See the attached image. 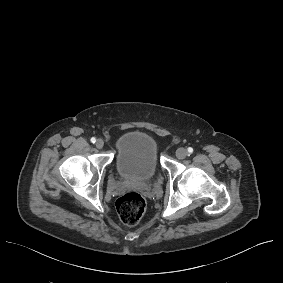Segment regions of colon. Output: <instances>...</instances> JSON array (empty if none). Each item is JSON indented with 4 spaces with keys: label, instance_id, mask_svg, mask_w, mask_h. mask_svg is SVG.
<instances>
[{
    "label": "colon",
    "instance_id": "1",
    "mask_svg": "<svg viewBox=\"0 0 283 283\" xmlns=\"http://www.w3.org/2000/svg\"><path fill=\"white\" fill-rule=\"evenodd\" d=\"M116 208L120 220L126 225H134L146 211L145 199L136 192H129L116 200Z\"/></svg>",
    "mask_w": 283,
    "mask_h": 283
}]
</instances>
